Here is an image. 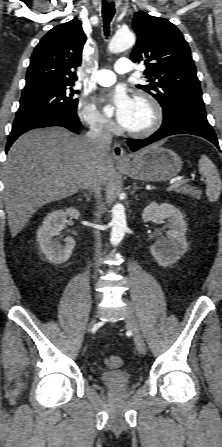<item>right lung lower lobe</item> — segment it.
Wrapping results in <instances>:
<instances>
[{"instance_id": "1", "label": "right lung lower lobe", "mask_w": 222, "mask_h": 447, "mask_svg": "<svg viewBox=\"0 0 222 447\" xmlns=\"http://www.w3.org/2000/svg\"><path fill=\"white\" fill-rule=\"evenodd\" d=\"M62 126L72 132H76L80 126V121L76 112H60L48 115L41 119L31 120L19 125H13L12 131L9 135L6 152L12 143L23 133L34 128Z\"/></svg>"}]
</instances>
